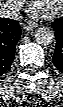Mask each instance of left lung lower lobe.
Here are the masks:
<instances>
[{"instance_id": "obj_1", "label": "left lung lower lobe", "mask_w": 63, "mask_h": 107, "mask_svg": "<svg viewBox=\"0 0 63 107\" xmlns=\"http://www.w3.org/2000/svg\"><path fill=\"white\" fill-rule=\"evenodd\" d=\"M56 36V48L52 58L55 67L63 73V18L52 23Z\"/></svg>"}]
</instances>
